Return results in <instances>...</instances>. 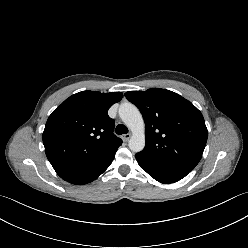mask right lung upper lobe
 <instances>
[{
	"mask_svg": "<svg viewBox=\"0 0 248 248\" xmlns=\"http://www.w3.org/2000/svg\"><path fill=\"white\" fill-rule=\"evenodd\" d=\"M122 93L82 91L67 98L49 116L43 144L50 163L88 162L117 149L122 140L113 135L108 109Z\"/></svg>",
	"mask_w": 248,
	"mask_h": 248,
	"instance_id": "1",
	"label": "right lung upper lobe"
}]
</instances>
